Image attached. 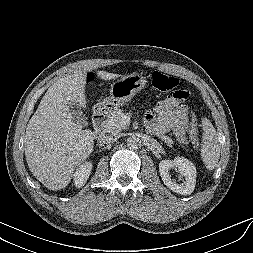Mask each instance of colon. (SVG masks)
<instances>
[{
	"label": "colon",
	"instance_id": "1",
	"mask_svg": "<svg viewBox=\"0 0 253 253\" xmlns=\"http://www.w3.org/2000/svg\"><path fill=\"white\" fill-rule=\"evenodd\" d=\"M151 80L155 89L162 92H170V96L175 99L183 98L185 100L188 97L186 90L178 88L179 82L174 76L166 75L160 71H155L152 74ZM191 139L194 142L197 141V137L194 133L191 135Z\"/></svg>",
	"mask_w": 253,
	"mask_h": 253
}]
</instances>
